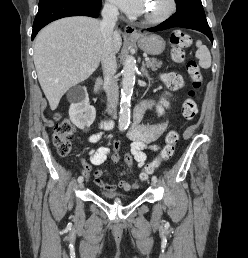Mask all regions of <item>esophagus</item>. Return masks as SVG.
Segmentation results:
<instances>
[{
  "mask_svg": "<svg viewBox=\"0 0 248 258\" xmlns=\"http://www.w3.org/2000/svg\"><path fill=\"white\" fill-rule=\"evenodd\" d=\"M124 32L127 36H136L138 34L136 28L132 25H126Z\"/></svg>",
  "mask_w": 248,
  "mask_h": 258,
  "instance_id": "1",
  "label": "esophagus"
}]
</instances>
